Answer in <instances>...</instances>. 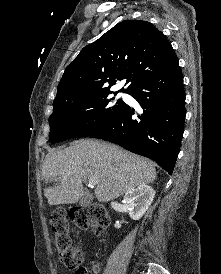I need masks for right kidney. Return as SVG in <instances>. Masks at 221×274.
<instances>
[{
  "label": "right kidney",
  "mask_w": 221,
  "mask_h": 274,
  "mask_svg": "<svg viewBox=\"0 0 221 274\" xmlns=\"http://www.w3.org/2000/svg\"><path fill=\"white\" fill-rule=\"evenodd\" d=\"M154 195V189L145 184L126 192L124 203L133 220H139L145 214L153 202Z\"/></svg>",
  "instance_id": "1"
}]
</instances>
